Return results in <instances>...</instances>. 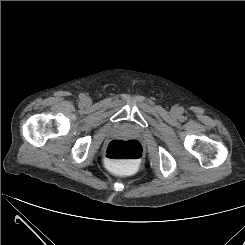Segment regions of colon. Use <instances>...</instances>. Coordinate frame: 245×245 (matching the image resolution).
<instances>
[{
	"label": "colon",
	"instance_id": "colon-1",
	"mask_svg": "<svg viewBox=\"0 0 245 245\" xmlns=\"http://www.w3.org/2000/svg\"><path fill=\"white\" fill-rule=\"evenodd\" d=\"M108 164L135 168L143 156V148L136 139H115L110 141L104 151Z\"/></svg>",
	"mask_w": 245,
	"mask_h": 245
}]
</instances>
